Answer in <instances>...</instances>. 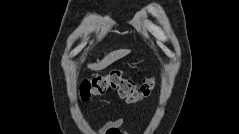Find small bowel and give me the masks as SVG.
<instances>
[{
    "instance_id": "1",
    "label": "small bowel",
    "mask_w": 239,
    "mask_h": 134,
    "mask_svg": "<svg viewBox=\"0 0 239 134\" xmlns=\"http://www.w3.org/2000/svg\"><path fill=\"white\" fill-rule=\"evenodd\" d=\"M123 119L116 118L98 130L99 134H126L122 129Z\"/></svg>"
}]
</instances>
